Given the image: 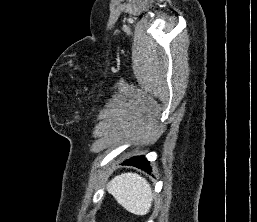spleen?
<instances>
[{
	"label": "spleen",
	"mask_w": 257,
	"mask_h": 222,
	"mask_svg": "<svg viewBox=\"0 0 257 222\" xmlns=\"http://www.w3.org/2000/svg\"><path fill=\"white\" fill-rule=\"evenodd\" d=\"M107 190L127 211L146 215L151 208L153 193L146 179L136 173H123L114 177Z\"/></svg>",
	"instance_id": "3e777b00"
}]
</instances>
